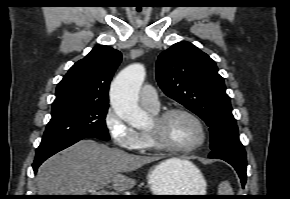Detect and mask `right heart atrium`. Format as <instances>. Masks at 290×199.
I'll return each instance as SVG.
<instances>
[{
	"mask_svg": "<svg viewBox=\"0 0 290 199\" xmlns=\"http://www.w3.org/2000/svg\"><path fill=\"white\" fill-rule=\"evenodd\" d=\"M105 124L117 147L130 151L137 150L139 133L129 126L113 108L108 109Z\"/></svg>",
	"mask_w": 290,
	"mask_h": 199,
	"instance_id": "d8ad5b80",
	"label": "right heart atrium"
}]
</instances>
